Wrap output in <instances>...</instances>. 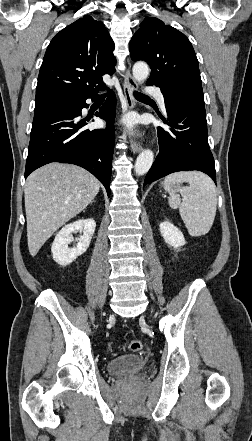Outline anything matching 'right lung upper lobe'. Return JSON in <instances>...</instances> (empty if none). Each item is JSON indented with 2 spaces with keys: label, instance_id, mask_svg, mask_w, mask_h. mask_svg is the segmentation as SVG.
Here are the masks:
<instances>
[{
  "label": "right lung upper lobe",
  "instance_id": "obj_1",
  "mask_svg": "<svg viewBox=\"0 0 252 441\" xmlns=\"http://www.w3.org/2000/svg\"><path fill=\"white\" fill-rule=\"evenodd\" d=\"M114 42L102 22L85 15L51 40L40 68L35 102L65 93L98 92L112 74Z\"/></svg>",
  "mask_w": 252,
  "mask_h": 441
}]
</instances>
